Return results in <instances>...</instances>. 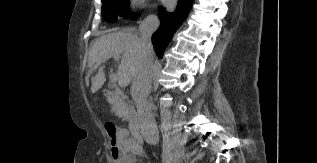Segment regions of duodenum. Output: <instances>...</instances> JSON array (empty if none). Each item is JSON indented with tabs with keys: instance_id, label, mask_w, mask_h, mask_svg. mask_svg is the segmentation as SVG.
Listing matches in <instances>:
<instances>
[{
	"instance_id": "obj_1",
	"label": "duodenum",
	"mask_w": 317,
	"mask_h": 163,
	"mask_svg": "<svg viewBox=\"0 0 317 163\" xmlns=\"http://www.w3.org/2000/svg\"><path fill=\"white\" fill-rule=\"evenodd\" d=\"M104 95L107 98V100L115 105H121L124 103V98L121 93L112 91V90H106L104 91ZM130 131L134 138V142L141 147V142L144 139L141 127L139 123L136 120L130 121Z\"/></svg>"
}]
</instances>
